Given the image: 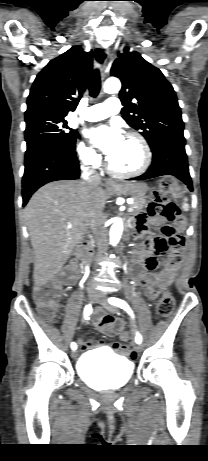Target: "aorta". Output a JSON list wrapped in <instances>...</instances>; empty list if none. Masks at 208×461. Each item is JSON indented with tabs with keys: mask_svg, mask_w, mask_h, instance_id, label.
I'll list each match as a JSON object with an SVG mask.
<instances>
[{
	"mask_svg": "<svg viewBox=\"0 0 208 461\" xmlns=\"http://www.w3.org/2000/svg\"><path fill=\"white\" fill-rule=\"evenodd\" d=\"M121 88V82L117 78H109L104 83V92L108 94L118 93ZM123 232V221L117 217L110 228V244L116 246L119 243Z\"/></svg>",
	"mask_w": 208,
	"mask_h": 461,
	"instance_id": "762f6f07",
	"label": "aorta"
}]
</instances>
